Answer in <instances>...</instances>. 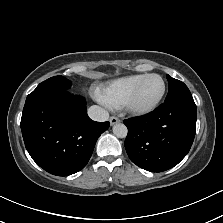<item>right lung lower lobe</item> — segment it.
I'll use <instances>...</instances> for the list:
<instances>
[{"instance_id":"98d812e1","label":"right lung lower lobe","mask_w":223,"mask_h":223,"mask_svg":"<svg viewBox=\"0 0 223 223\" xmlns=\"http://www.w3.org/2000/svg\"><path fill=\"white\" fill-rule=\"evenodd\" d=\"M109 125V122L92 121L84 98L67 91L26 100L20 124L32 159L57 176L83 169L98 137Z\"/></svg>"}]
</instances>
